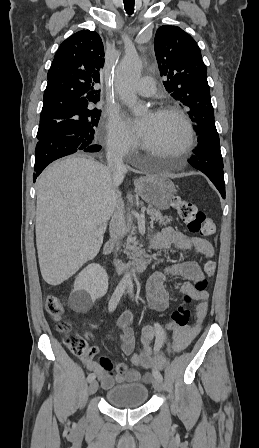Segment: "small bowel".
I'll return each mask as SVG.
<instances>
[{
	"label": "small bowel",
	"mask_w": 259,
	"mask_h": 448,
	"mask_svg": "<svg viewBox=\"0 0 259 448\" xmlns=\"http://www.w3.org/2000/svg\"><path fill=\"white\" fill-rule=\"evenodd\" d=\"M152 244L156 248L169 250L177 248L188 254H199L204 259H210L214 255L212 244L201 237L188 236L178 232L171 227H165L153 239ZM169 277H179L182 280L176 284V289L197 301L194 311V323L182 328H171L168 324L166 329L171 332L172 342L170 350L180 352L184 350L199 334L202 324L208 313L209 293L206 290H197L194 282L204 278L199 263L193 259L174 263L164 269L155 272L148 280L146 286L145 300L147 305L154 310L163 311L168 308L169 293L166 281ZM133 314L126 312L117 321L121 350L125 355H131L135 347V336L131 329ZM154 331L151 326H145L141 332V366L150 372L140 373L128 369L125 363L114 362L109 357L101 356L98 360L94 357L99 353V348L93 346L89 353L81 357L84 367L95 374L104 389L111 388L115 383H150L155 371L161 370L164 365V357H156L151 345Z\"/></svg>",
	"instance_id": "obj_1"
}]
</instances>
